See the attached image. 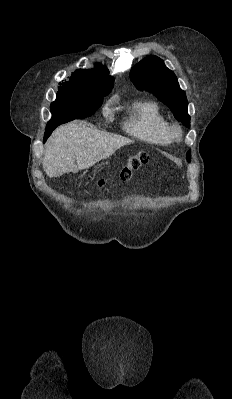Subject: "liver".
Returning <instances> with one entry per match:
<instances>
[{
	"label": "liver",
	"instance_id": "6515ba94",
	"mask_svg": "<svg viewBox=\"0 0 232 399\" xmlns=\"http://www.w3.org/2000/svg\"><path fill=\"white\" fill-rule=\"evenodd\" d=\"M130 142L133 140L89 128L86 122H70L57 128L49 138L42 158L43 170L49 178L87 170Z\"/></svg>",
	"mask_w": 232,
	"mask_h": 399
}]
</instances>
